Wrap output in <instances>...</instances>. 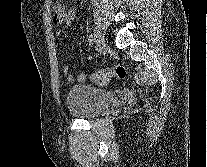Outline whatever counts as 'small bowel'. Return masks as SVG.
<instances>
[{"mask_svg": "<svg viewBox=\"0 0 207 167\" xmlns=\"http://www.w3.org/2000/svg\"><path fill=\"white\" fill-rule=\"evenodd\" d=\"M55 16L54 23L57 25H71L75 19L76 11L73 7H66L60 0L54 2ZM56 36H61V32H56ZM89 59V57H87ZM63 73L70 83L82 82L86 80L84 73L73 74L68 65L63 67Z\"/></svg>", "mask_w": 207, "mask_h": 167, "instance_id": "1", "label": "small bowel"}]
</instances>
